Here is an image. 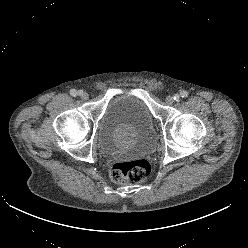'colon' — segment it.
Segmentation results:
<instances>
[{
  "instance_id": "5ec220e1",
  "label": "colon",
  "mask_w": 248,
  "mask_h": 248,
  "mask_svg": "<svg viewBox=\"0 0 248 248\" xmlns=\"http://www.w3.org/2000/svg\"><path fill=\"white\" fill-rule=\"evenodd\" d=\"M147 160L136 159L114 163L109 170L110 178L117 184H136L143 181L150 173Z\"/></svg>"
}]
</instances>
